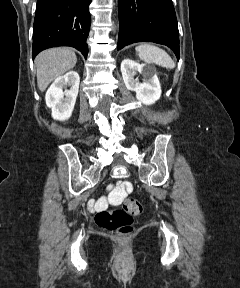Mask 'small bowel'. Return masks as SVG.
Wrapping results in <instances>:
<instances>
[{
    "instance_id": "c3829d8e",
    "label": "small bowel",
    "mask_w": 240,
    "mask_h": 288,
    "mask_svg": "<svg viewBox=\"0 0 240 288\" xmlns=\"http://www.w3.org/2000/svg\"><path fill=\"white\" fill-rule=\"evenodd\" d=\"M115 194H116V196H118V197H122V196L124 195V191H123L122 188H117V189L115 190Z\"/></svg>"
}]
</instances>
